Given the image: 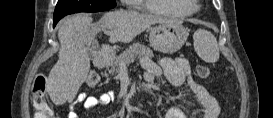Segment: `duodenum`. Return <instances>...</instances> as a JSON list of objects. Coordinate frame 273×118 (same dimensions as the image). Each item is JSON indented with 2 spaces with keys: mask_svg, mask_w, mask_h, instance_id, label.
I'll return each mask as SVG.
<instances>
[{
  "mask_svg": "<svg viewBox=\"0 0 273 118\" xmlns=\"http://www.w3.org/2000/svg\"><path fill=\"white\" fill-rule=\"evenodd\" d=\"M108 62H109V58L106 54L100 55V56L96 57V59H95V65L98 68H103V67L107 66Z\"/></svg>",
  "mask_w": 273,
  "mask_h": 118,
  "instance_id": "410a0bca",
  "label": "duodenum"
}]
</instances>
